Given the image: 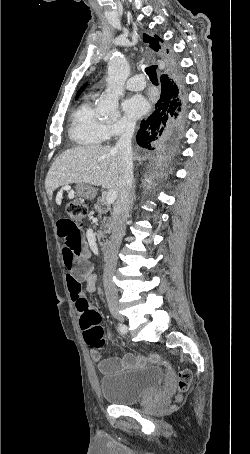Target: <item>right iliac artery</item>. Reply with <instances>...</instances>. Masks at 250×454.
<instances>
[{"label":"right iliac artery","mask_w":250,"mask_h":454,"mask_svg":"<svg viewBox=\"0 0 250 454\" xmlns=\"http://www.w3.org/2000/svg\"><path fill=\"white\" fill-rule=\"evenodd\" d=\"M118 330L122 333L125 334L127 332V327L125 325L119 324L118 325Z\"/></svg>","instance_id":"obj_1"}]
</instances>
